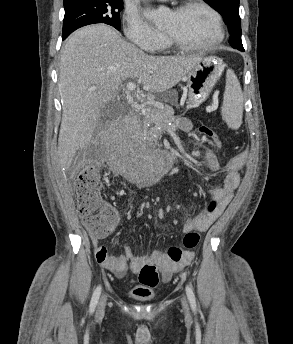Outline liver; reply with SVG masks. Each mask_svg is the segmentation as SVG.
I'll use <instances>...</instances> for the list:
<instances>
[{
  "label": "liver",
  "instance_id": "liver-1",
  "mask_svg": "<svg viewBox=\"0 0 293 344\" xmlns=\"http://www.w3.org/2000/svg\"><path fill=\"white\" fill-rule=\"evenodd\" d=\"M201 59L198 55H148L106 25L76 31L60 59L61 167L69 168L76 151L91 141L101 111L115 99L123 82L137 79L145 91L163 93L178 84Z\"/></svg>",
  "mask_w": 293,
  "mask_h": 344
}]
</instances>
